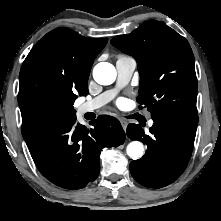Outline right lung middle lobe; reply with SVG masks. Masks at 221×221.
Returning a JSON list of instances; mask_svg holds the SVG:
<instances>
[{"label": "right lung middle lobe", "instance_id": "right-lung-middle-lobe-1", "mask_svg": "<svg viewBox=\"0 0 221 221\" xmlns=\"http://www.w3.org/2000/svg\"><path fill=\"white\" fill-rule=\"evenodd\" d=\"M76 98L68 99L65 102L53 105L47 115L48 120L53 118H66L75 116L73 104Z\"/></svg>", "mask_w": 221, "mask_h": 221}]
</instances>
